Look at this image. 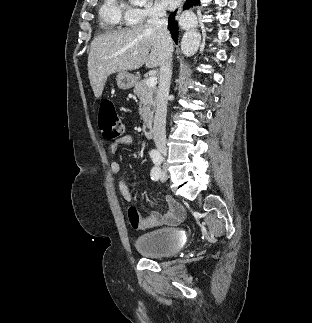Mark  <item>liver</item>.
Masks as SVG:
<instances>
[{
    "instance_id": "6515ba94",
    "label": "liver",
    "mask_w": 312,
    "mask_h": 323,
    "mask_svg": "<svg viewBox=\"0 0 312 323\" xmlns=\"http://www.w3.org/2000/svg\"><path fill=\"white\" fill-rule=\"evenodd\" d=\"M135 54V56H134ZM161 62V44L152 24L125 28L96 36L88 56V78L95 98H100L108 76L115 72L157 68Z\"/></svg>"
}]
</instances>
